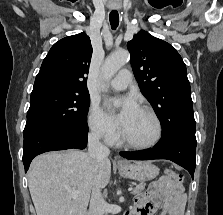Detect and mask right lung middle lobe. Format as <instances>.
I'll use <instances>...</instances> for the list:
<instances>
[{
	"mask_svg": "<svg viewBox=\"0 0 223 215\" xmlns=\"http://www.w3.org/2000/svg\"><path fill=\"white\" fill-rule=\"evenodd\" d=\"M89 105V95L64 92L31 93L23 135L52 129L87 133Z\"/></svg>",
	"mask_w": 223,
	"mask_h": 215,
	"instance_id": "right-lung-middle-lobe-1",
	"label": "right lung middle lobe"
}]
</instances>
